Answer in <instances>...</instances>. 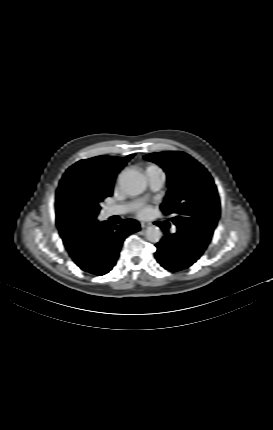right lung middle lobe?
<instances>
[{
	"label": "right lung middle lobe",
	"mask_w": 273,
	"mask_h": 430,
	"mask_svg": "<svg viewBox=\"0 0 273 430\" xmlns=\"http://www.w3.org/2000/svg\"><path fill=\"white\" fill-rule=\"evenodd\" d=\"M111 195L106 190L86 188L76 179L61 181L56 195L59 232H83L96 220L100 203Z\"/></svg>",
	"instance_id": "right-lung-middle-lobe-1"
}]
</instances>
